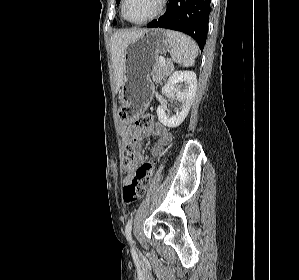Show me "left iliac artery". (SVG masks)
Here are the masks:
<instances>
[{
    "instance_id": "left-iliac-artery-1",
    "label": "left iliac artery",
    "mask_w": 299,
    "mask_h": 280,
    "mask_svg": "<svg viewBox=\"0 0 299 280\" xmlns=\"http://www.w3.org/2000/svg\"><path fill=\"white\" fill-rule=\"evenodd\" d=\"M131 230H132V217L128 220L126 227H125V234L126 238L130 243H133L132 237H131Z\"/></svg>"
}]
</instances>
